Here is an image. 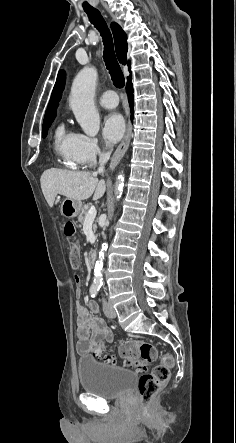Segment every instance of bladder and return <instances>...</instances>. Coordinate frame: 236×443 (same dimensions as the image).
<instances>
[{
	"label": "bladder",
	"instance_id": "1",
	"mask_svg": "<svg viewBox=\"0 0 236 443\" xmlns=\"http://www.w3.org/2000/svg\"><path fill=\"white\" fill-rule=\"evenodd\" d=\"M78 373L84 392L103 399L125 396L133 389L137 378L134 371L102 364L91 357L79 359Z\"/></svg>",
	"mask_w": 236,
	"mask_h": 443
}]
</instances>
